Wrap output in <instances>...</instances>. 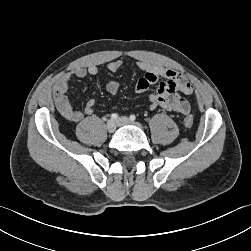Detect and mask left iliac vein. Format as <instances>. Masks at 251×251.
Masks as SVG:
<instances>
[{
	"mask_svg": "<svg viewBox=\"0 0 251 251\" xmlns=\"http://www.w3.org/2000/svg\"><path fill=\"white\" fill-rule=\"evenodd\" d=\"M128 124H134V122H132L130 119H128L127 117H121L117 120V125L118 126H122V125H128ZM137 126L140 127L139 124H136Z\"/></svg>",
	"mask_w": 251,
	"mask_h": 251,
	"instance_id": "1",
	"label": "left iliac vein"
}]
</instances>
